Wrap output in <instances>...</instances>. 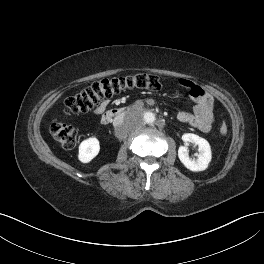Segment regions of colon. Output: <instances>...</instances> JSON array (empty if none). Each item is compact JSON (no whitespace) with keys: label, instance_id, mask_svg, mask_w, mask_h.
Returning a JSON list of instances; mask_svg holds the SVG:
<instances>
[{"label":"colon","instance_id":"1","mask_svg":"<svg viewBox=\"0 0 264 264\" xmlns=\"http://www.w3.org/2000/svg\"><path fill=\"white\" fill-rule=\"evenodd\" d=\"M161 88L160 79L153 74H135L122 77L104 78L93 83L85 90L67 97L64 109L69 114L84 113L98 106L102 101L128 89H146L158 91ZM220 132L226 135L228 126L221 121ZM50 133L65 149H71L77 142V129L59 120L52 121Z\"/></svg>","mask_w":264,"mask_h":264}]
</instances>
